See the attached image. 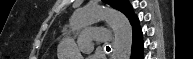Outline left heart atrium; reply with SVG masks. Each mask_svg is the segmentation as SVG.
I'll use <instances>...</instances> for the list:
<instances>
[{"mask_svg": "<svg viewBox=\"0 0 193 59\" xmlns=\"http://www.w3.org/2000/svg\"><path fill=\"white\" fill-rule=\"evenodd\" d=\"M87 59H101V58L97 57L96 55H91Z\"/></svg>", "mask_w": 193, "mask_h": 59, "instance_id": "left-heart-atrium-1", "label": "left heart atrium"}]
</instances>
